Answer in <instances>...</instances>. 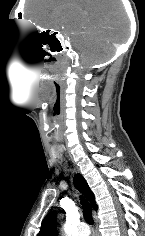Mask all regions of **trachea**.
Segmentation results:
<instances>
[{"instance_id": "obj_1", "label": "trachea", "mask_w": 145, "mask_h": 236, "mask_svg": "<svg viewBox=\"0 0 145 236\" xmlns=\"http://www.w3.org/2000/svg\"><path fill=\"white\" fill-rule=\"evenodd\" d=\"M80 199H81V204H82V208H83L84 219L88 224L91 225V224H93L92 208H91L90 204L85 199H83L82 197H80Z\"/></svg>"}]
</instances>
